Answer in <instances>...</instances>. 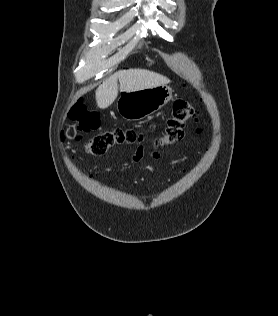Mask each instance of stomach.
<instances>
[{"instance_id":"0dacf381","label":"stomach","mask_w":278,"mask_h":316,"mask_svg":"<svg viewBox=\"0 0 278 316\" xmlns=\"http://www.w3.org/2000/svg\"><path fill=\"white\" fill-rule=\"evenodd\" d=\"M171 98L168 85L126 92L119 97L117 110L127 120H139L161 109Z\"/></svg>"}]
</instances>
